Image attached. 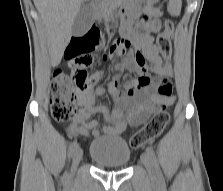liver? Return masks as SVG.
<instances>
[{
  "instance_id": "obj_1",
  "label": "liver",
  "mask_w": 223,
  "mask_h": 191,
  "mask_svg": "<svg viewBox=\"0 0 223 191\" xmlns=\"http://www.w3.org/2000/svg\"><path fill=\"white\" fill-rule=\"evenodd\" d=\"M88 0H34L45 25L52 66L61 62L72 36V25L82 4Z\"/></svg>"
}]
</instances>
